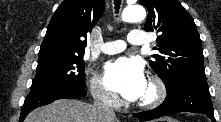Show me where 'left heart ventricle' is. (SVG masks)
Returning a JSON list of instances; mask_svg holds the SVG:
<instances>
[{
    "label": "left heart ventricle",
    "mask_w": 221,
    "mask_h": 122,
    "mask_svg": "<svg viewBox=\"0 0 221 122\" xmlns=\"http://www.w3.org/2000/svg\"><path fill=\"white\" fill-rule=\"evenodd\" d=\"M149 94H150V88H149V86L147 85V88H146V90H145L143 96H142L140 99H144V98L148 97Z\"/></svg>",
    "instance_id": "obj_1"
}]
</instances>
